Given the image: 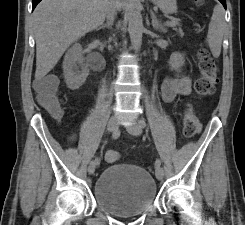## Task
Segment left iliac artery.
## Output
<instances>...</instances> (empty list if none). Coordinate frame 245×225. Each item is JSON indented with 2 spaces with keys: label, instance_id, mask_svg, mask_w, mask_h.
<instances>
[{
  "label": "left iliac artery",
  "instance_id": "obj_1",
  "mask_svg": "<svg viewBox=\"0 0 245 225\" xmlns=\"http://www.w3.org/2000/svg\"><path fill=\"white\" fill-rule=\"evenodd\" d=\"M139 124L141 125L142 128H144V127L146 126V122H145L144 119H141V120L139 121ZM160 165H161V160H160V159H157V160L155 161V163H154L155 168L157 169L158 167H160Z\"/></svg>",
  "mask_w": 245,
  "mask_h": 225
}]
</instances>
